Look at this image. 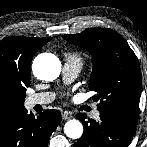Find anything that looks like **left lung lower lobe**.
<instances>
[{
    "label": "left lung lower lobe",
    "mask_w": 147,
    "mask_h": 147,
    "mask_svg": "<svg viewBox=\"0 0 147 147\" xmlns=\"http://www.w3.org/2000/svg\"><path fill=\"white\" fill-rule=\"evenodd\" d=\"M84 126V133L74 147H127L133 138L135 128L119 117L100 112L99 121L89 119L78 113Z\"/></svg>",
    "instance_id": "1"
}]
</instances>
